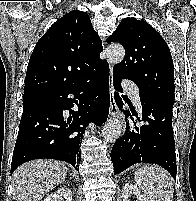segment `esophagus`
<instances>
[{
	"instance_id": "34e87169",
	"label": "esophagus",
	"mask_w": 196,
	"mask_h": 201,
	"mask_svg": "<svg viewBox=\"0 0 196 201\" xmlns=\"http://www.w3.org/2000/svg\"><path fill=\"white\" fill-rule=\"evenodd\" d=\"M109 94H110V111H109V115L111 117H115V116L118 115L119 109H118V107L116 105L115 98H114L112 67H110Z\"/></svg>"
}]
</instances>
